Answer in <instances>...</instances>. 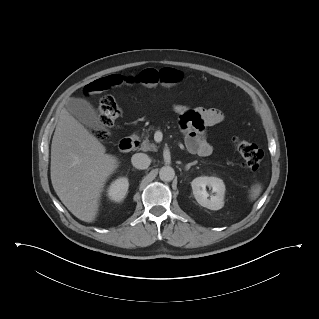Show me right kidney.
Returning a JSON list of instances; mask_svg holds the SVG:
<instances>
[{"label":"right kidney","mask_w":319,"mask_h":319,"mask_svg":"<svg viewBox=\"0 0 319 319\" xmlns=\"http://www.w3.org/2000/svg\"><path fill=\"white\" fill-rule=\"evenodd\" d=\"M129 187L126 177H120L113 181L109 186L107 193L110 200L120 202L125 197Z\"/></svg>","instance_id":"ca27d5eb"}]
</instances>
